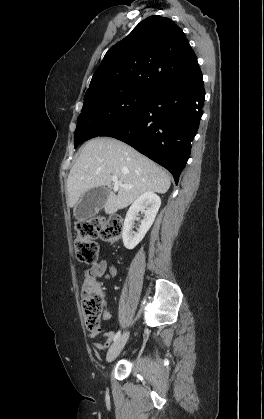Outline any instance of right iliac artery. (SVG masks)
<instances>
[{"instance_id": "obj_1", "label": "right iliac artery", "mask_w": 264, "mask_h": 419, "mask_svg": "<svg viewBox=\"0 0 264 419\" xmlns=\"http://www.w3.org/2000/svg\"><path fill=\"white\" fill-rule=\"evenodd\" d=\"M120 336H121V331H118L114 336V339H113L114 342L117 341L120 338Z\"/></svg>"}]
</instances>
